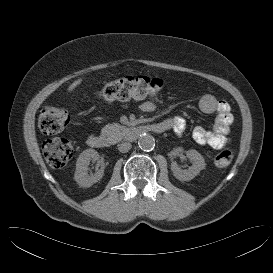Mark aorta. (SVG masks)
I'll return each instance as SVG.
<instances>
[{
  "label": "aorta",
  "mask_w": 273,
  "mask_h": 273,
  "mask_svg": "<svg viewBox=\"0 0 273 273\" xmlns=\"http://www.w3.org/2000/svg\"><path fill=\"white\" fill-rule=\"evenodd\" d=\"M138 145L143 151H151L155 147V139L150 134H143L138 140Z\"/></svg>",
  "instance_id": "obj_1"
}]
</instances>
